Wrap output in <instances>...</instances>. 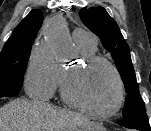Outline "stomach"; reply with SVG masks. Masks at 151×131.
I'll list each match as a JSON object with an SVG mask.
<instances>
[{"mask_svg":"<svg viewBox=\"0 0 151 131\" xmlns=\"http://www.w3.org/2000/svg\"><path fill=\"white\" fill-rule=\"evenodd\" d=\"M76 131H106V128L98 122H88L79 126Z\"/></svg>","mask_w":151,"mask_h":131,"instance_id":"stomach-1","label":"stomach"}]
</instances>
